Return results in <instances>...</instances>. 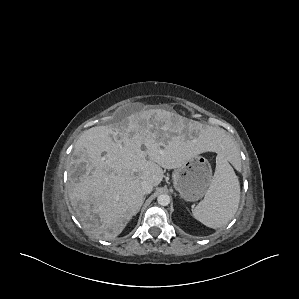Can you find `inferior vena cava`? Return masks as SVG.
<instances>
[{
    "label": "inferior vena cava",
    "instance_id": "1",
    "mask_svg": "<svg viewBox=\"0 0 299 299\" xmlns=\"http://www.w3.org/2000/svg\"><path fill=\"white\" fill-rule=\"evenodd\" d=\"M141 189H142L143 194H149L152 192L153 186L147 181H142Z\"/></svg>",
    "mask_w": 299,
    "mask_h": 299
}]
</instances>
